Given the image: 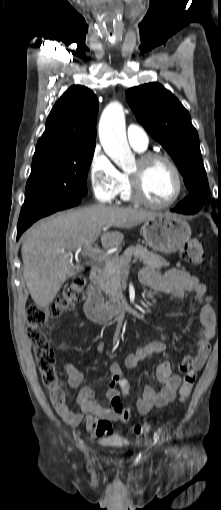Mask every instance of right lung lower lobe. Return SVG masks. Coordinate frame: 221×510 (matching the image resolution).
Returning a JSON list of instances; mask_svg holds the SVG:
<instances>
[{
  "label": "right lung lower lobe",
  "mask_w": 221,
  "mask_h": 510,
  "mask_svg": "<svg viewBox=\"0 0 221 510\" xmlns=\"http://www.w3.org/2000/svg\"><path fill=\"white\" fill-rule=\"evenodd\" d=\"M80 202H81V199L76 201V202H72V203L66 204V205L61 206V207H55V208H52V209L47 210V211L46 210L42 211V210H39L37 208H33L31 206H24L23 205L22 210H21V214H20V217H19V221H18L17 240L19 239L21 234L28 227H30L33 224V222H35L39 218L47 216V215H50V214H52V213H54L56 211H59V210H63V209H66V208H70V207L76 206Z\"/></svg>",
  "instance_id": "obj_1"
}]
</instances>
